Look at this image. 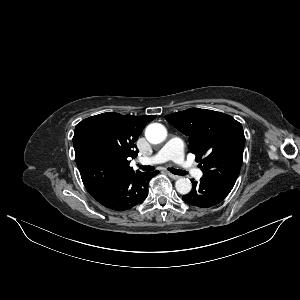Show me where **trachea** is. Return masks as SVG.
<instances>
[{"label": "trachea", "instance_id": "1", "mask_svg": "<svg viewBox=\"0 0 300 300\" xmlns=\"http://www.w3.org/2000/svg\"><path fill=\"white\" fill-rule=\"evenodd\" d=\"M139 167L143 170V171H153L155 169L154 166H146V165H139ZM168 170L175 174V175H185L186 171L180 170V169H175V168H168Z\"/></svg>", "mask_w": 300, "mask_h": 300}]
</instances>
